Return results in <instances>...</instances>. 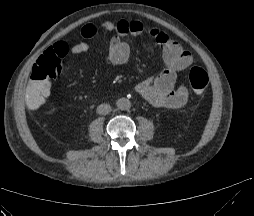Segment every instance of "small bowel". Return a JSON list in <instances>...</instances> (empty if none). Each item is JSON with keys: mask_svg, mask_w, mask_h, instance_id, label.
Returning a JSON list of instances; mask_svg holds the SVG:
<instances>
[{"mask_svg": "<svg viewBox=\"0 0 254 216\" xmlns=\"http://www.w3.org/2000/svg\"><path fill=\"white\" fill-rule=\"evenodd\" d=\"M103 30L112 33L109 40L108 61L114 66L122 65L129 59L131 49L129 43L124 39L126 36L145 35L160 44L165 62L164 71L155 78L150 77L138 83L136 91L156 107L176 109L187 103L189 97L187 88L183 84H177V73L190 66L193 61L187 49L162 30L144 25L138 20H121L117 23L107 21L103 24ZM81 35L86 39H92L97 35V27L92 23L83 25ZM60 44L65 45L62 51L58 48ZM47 50L62 53L66 57L70 54L86 53L90 50V45L87 42H80L69 46L65 42H58ZM50 93L51 89L48 98Z\"/></svg>", "mask_w": 254, "mask_h": 216, "instance_id": "obj_1", "label": "small bowel"}]
</instances>
